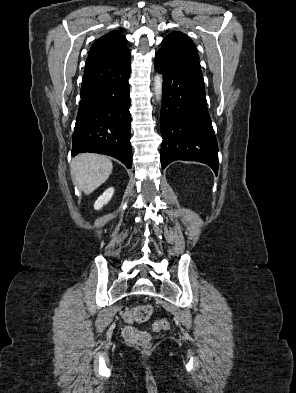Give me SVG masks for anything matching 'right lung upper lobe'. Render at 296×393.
I'll return each mask as SVG.
<instances>
[{
    "instance_id": "1",
    "label": "right lung upper lobe",
    "mask_w": 296,
    "mask_h": 393,
    "mask_svg": "<svg viewBox=\"0 0 296 393\" xmlns=\"http://www.w3.org/2000/svg\"><path fill=\"white\" fill-rule=\"evenodd\" d=\"M129 51L127 40L117 31H111L100 37L91 46L88 57L118 54Z\"/></svg>"
}]
</instances>
